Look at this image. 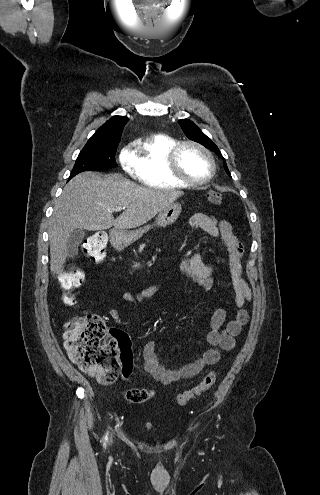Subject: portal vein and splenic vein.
<instances>
[{
	"mask_svg": "<svg viewBox=\"0 0 320 495\" xmlns=\"http://www.w3.org/2000/svg\"><path fill=\"white\" fill-rule=\"evenodd\" d=\"M125 208L124 207H115L112 209V211H121V210H124Z\"/></svg>",
	"mask_w": 320,
	"mask_h": 495,
	"instance_id": "18ae733b",
	"label": "portal vein and splenic vein"
}]
</instances>
